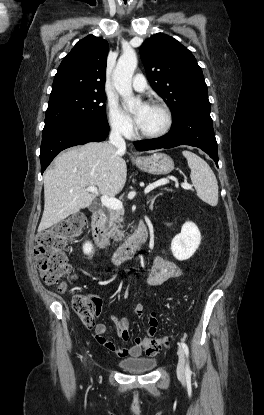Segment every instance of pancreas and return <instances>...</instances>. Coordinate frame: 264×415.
Masks as SVG:
<instances>
[{"label": "pancreas", "mask_w": 264, "mask_h": 415, "mask_svg": "<svg viewBox=\"0 0 264 415\" xmlns=\"http://www.w3.org/2000/svg\"><path fill=\"white\" fill-rule=\"evenodd\" d=\"M123 211L118 210H109L106 221L104 224V230L107 235L114 237L115 239L122 240L123 231L120 230L122 227L121 222H123Z\"/></svg>", "instance_id": "obj_1"}]
</instances>
